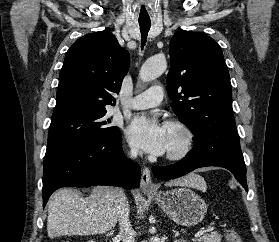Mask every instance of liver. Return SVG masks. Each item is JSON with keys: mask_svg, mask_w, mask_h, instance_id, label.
<instances>
[{"mask_svg": "<svg viewBox=\"0 0 279 242\" xmlns=\"http://www.w3.org/2000/svg\"><path fill=\"white\" fill-rule=\"evenodd\" d=\"M167 185L194 187L203 192L207 188L195 174ZM123 203L124 193L116 187H94L86 198L72 189H60L48 201V237L105 233L116 225Z\"/></svg>", "mask_w": 279, "mask_h": 242, "instance_id": "obj_1", "label": "liver"}]
</instances>
